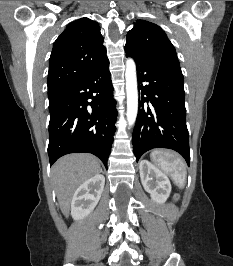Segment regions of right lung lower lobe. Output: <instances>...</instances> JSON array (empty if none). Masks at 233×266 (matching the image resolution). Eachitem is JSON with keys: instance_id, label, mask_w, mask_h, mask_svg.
Instances as JSON below:
<instances>
[{"instance_id": "1", "label": "right lung lower lobe", "mask_w": 233, "mask_h": 266, "mask_svg": "<svg viewBox=\"0 0 233 266\" xmlns=\"http://www.w3.org/2000/svg\"><path fill=\"white\" fill-rule=\"evenodd\" d=\"M108 65L106 61L49 97L50 165L65 154L87 152L107 168L117 117Z\"/></svg>"}]
</instances>
